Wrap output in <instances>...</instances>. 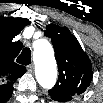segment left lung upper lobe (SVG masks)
Returning <instances> with one entry per match:
<instances>
[{
  "label": "left lung upper lobe",
  "mask_w": 103,
  "mask_h": 103,
  "mask_svg": "<svg viewBox=\"0 0 103 103\" xmlns=\"http://www.w3.org/2000/svg\"><path fill=\"white\" fill-rule=\"evenodd\" d=\"M46 28L44 34L52 41L59 71L58 81L49 94L53 100L67 102L90 85L93 75L91 61L68 28L55 24Z\"/></svg>",
  "instance_id": "obj_1"
}]
</instances>
